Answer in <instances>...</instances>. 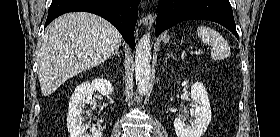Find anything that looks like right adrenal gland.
<instances>
[{
    "mask_svg": "<svg viewBox=\"0 0 280 137\" xmlns=\"http://www.w3.org/2000/svg\"><path fill=\"white\" fill-rule=\"evenodd\" d=\"M112 55H117L118 57H120L119 49L115 50V52Z\"/></svg>",
    "mask_w": 280,
    "mask_h": 137,
    "instance_id": "1",
    "label": "right adrenal gland"
}]
</instances>
